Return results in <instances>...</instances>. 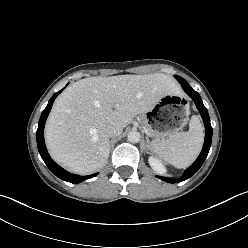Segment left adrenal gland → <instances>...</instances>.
<instances>
[{"label":"left adrenal gland","instance_id":"left-adrenal-gland-1","mask_svg":"<svg viewBox=\"0 0 248 248\" xmlns=\"http://www.w3.org/2000/svg\"><path fill=\"white\" fill-rule=\"evenodd\" d=\"M147 139V148L149 149V150H151V148H150V141H149V139H148V137L146 138ZM148 152V151H147Z\"/></svg>","mask_w":248,"mask_h":248}]
</instances>
